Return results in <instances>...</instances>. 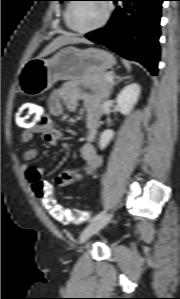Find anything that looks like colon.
I'll list each match as a JSON object with an SVG mask.
<instances>
[{"instance_id":"obj_1","label":"colon","mask_w":180,"mask_h":299,"mask_svg":"<svg viewBox=\"0 0 180 299\" xmlns=\"http://www.w3.org/2000/svg\"><path fill=\"white\" fill-rule=\"evenodd\" d=\"M44 117L43 109L38 105L21 108L17 114L19 126L23 128H30L39 124ZM33 192L40 203L60 222L78 224L85 221L89 216L85 210L67 209L58 205L55 201L53 188L49 183H34Z\"/></svg>"}]
</instances>
